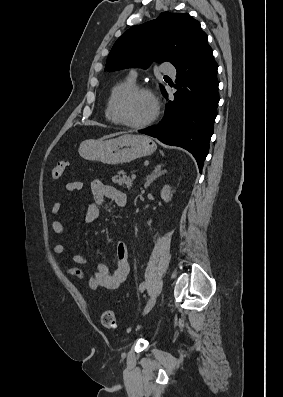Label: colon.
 Segmentation results:
<instances>
[{"label": "colon", "instance_id": "5ec220e1", "mask_svg": "<svg viewBox=\"0 0 283 397\" xmlns=\"http://www.w3.org/2000/svg\"><path fill=\"white\" fill-rule=\"evenodd\" d=\"M67 165L68 163L64 161L58 162L56 165H54L51 170V178L54 180L60 179L63 176ZM101 324L107 329H116L117 322L115 314L112 310H106L102 313Z\"/></svg>", "mask_w": 283, "mask_h": 397}]
</instances>
